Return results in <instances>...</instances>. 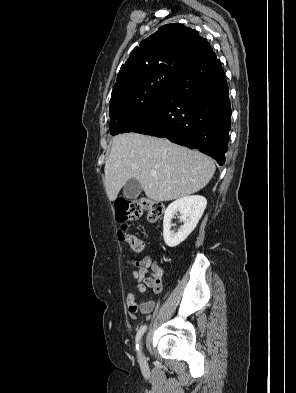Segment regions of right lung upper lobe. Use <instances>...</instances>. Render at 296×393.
Instances as JSON below:
<instances>
[{
    "instance_id": "obj_1",
    "label": "right lung upper lobe",
    "mask_w": 296,
    "mask_h": 393,
    "mask_svg": "<svg viewBox=\"0 0 296 393\" xmlns=\"http://www.w3.org/2000/svg\"><path fill=\"white\" fill-rule=\"evenodd\" d=\"M211 49L192 28L179 23L160 27L121 66L109 104L139 95L152 80L177 79Z\"/></svg>"
}]
</instances>
